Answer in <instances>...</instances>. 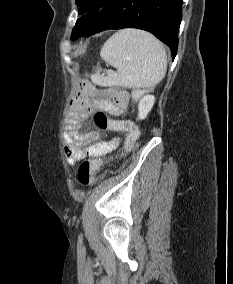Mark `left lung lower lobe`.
<instances>
[{
  "label": "left lung lower lobe",
  "instance_id": "obj_1",
  "mask_svg": "<svg viewBox=\"0 0 233 284\" xmlns=\"http://www.w3.org/2000/svg\"><path fill=\"white\" fill-rule=\"evenodd\" d=\"M181 18L182 0H108L86 36L108 29H143L169 46L174 60Z\"/></svg>",
  "mask_w": 233,
  "mask_h": 284
}]
</instances>
